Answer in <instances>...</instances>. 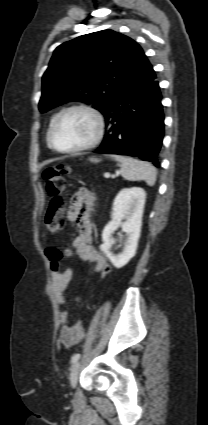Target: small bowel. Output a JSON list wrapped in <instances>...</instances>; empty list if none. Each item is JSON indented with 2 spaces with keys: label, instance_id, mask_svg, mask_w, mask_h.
I'll list each match as a JSON object with an SVG mask.
<instances>
[{
  "label": "small bowel",
  "instance_id": "c3829d8e",
  "mask_svg": "<svg viewBox=\"0 0 208 425\" xmlns=\"http://www.w3.org/2000/svg\"><path fill=\"white\" fill-rule=\"evenodd\" d=\"M95 197L88 188H80L71 198L68 220L77 225L78 236L72 246L77 255V262L66 269L52 270V291L58 305L65 303V293L75 272L78 262L89 261L94 271L100 273L103 267L109 266L106 258L92 244L94 218L93 206ZM60 340L66 347L78 344L84 337V327L81 322L70 324L68 312L62 308L59 313Z\"/></svg>",
  "mask_w": 208,
  "mask_h": 425
}]
</instances>
